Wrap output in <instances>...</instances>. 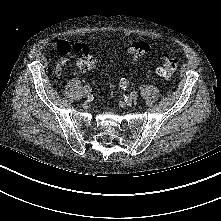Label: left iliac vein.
<instances>
[{"label":"left iliac vein","mask_w":221,"mask_h":221,"mask_svg":"<svg viewBox=\"0 0 221 221\" xmlns=\"http://www.w3.org/2000/svg\"><path fill=\"white\" fill-rule=\"evenodd\" d=\"M129 97H130L132 100H136L137 97H138V92H137V91H132V92L129 94Z\"/></svg>","instance_id":"4c4485c4"}]
</instances>
